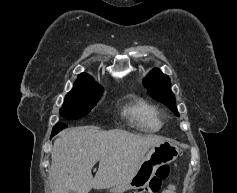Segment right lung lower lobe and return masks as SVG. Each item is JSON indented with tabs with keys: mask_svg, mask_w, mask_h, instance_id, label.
Returning <instances> with one entry per match:
<instances>
[{
	"mask_svg": "<svg viewBox=\"0 0 237 193\" xmlns=\"http://www.w3.org/2000/svg\"><path fill=\"white\" fill-rule=\"evenodd\" d=\"M65 127H67L66 124L63 123H57L52 130V134H51V138L56 135L58 132H60L62 129H64Z\"/></svg>",
	"mask_w": 237,
	"mask_h": 193,
	"instance_id": "obj_1",
	"label": "right lung lower lobe"
}]
</instances>
